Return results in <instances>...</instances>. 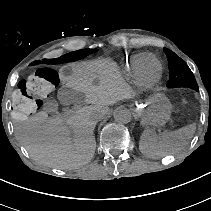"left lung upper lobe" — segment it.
<instances>
[{"label": "left lung upper lobe", "instance_id": "left-lung-upper-lobe-1", "mask_svg": "<svg viewBox=\"0 0 211 211\" xmlns=\"http://www.w3.org/2000/svg\"><path fill=\"white\" fill-rule=\"evenodd\" d=\"M169 62L168 88L188 87L199 91L195 77L187 64L171 50L164 48Z\"/></svg>", "mask_w": 211, "mask_h": 211}]
</instances>
